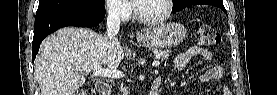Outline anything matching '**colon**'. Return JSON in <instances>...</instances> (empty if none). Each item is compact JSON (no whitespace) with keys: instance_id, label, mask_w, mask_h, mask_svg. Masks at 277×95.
Instances as JSON below:
<instances>
[{"instance_id":"5ec220e1","label":"colon","mask_w":277,"mask_h":95,"mask_svg":"<svg viewBox=\"0 0 277 95\" xmlns=\"http://www.w3.org/2000/svg\"><path fill=\"white\" fill-rule=\"evenodd\" d=\"M221 42L220 34L211 26H201L198 29V47L209 48L218 45ZM78 95H93L94 92L90 89H81Z\"/></svg>"}]
</instances>
